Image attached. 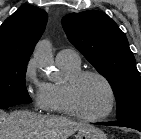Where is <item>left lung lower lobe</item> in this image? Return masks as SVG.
Instances as JSON below:
<instances>
[{
  "instance_id": "0a47b994",
  "label": "left lung lower lobe",
  "mask_w": 141,
  "mask_h": 139,
  "mask_svg": "<svg viewBox=\"0 0 141 139\" xmlns=\"http://www.w3.org/2000/svg\"><path fill=\"white\" fill-rule=\"evenodd\" d=\"M108 126H123L133 128L141 132V117L131 118L127 120H119L115 122L101 123Z\"/></svg>"
}]
</instances>
